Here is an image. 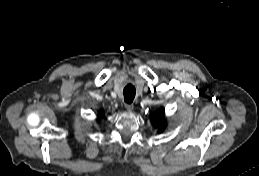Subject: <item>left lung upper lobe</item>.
<instances>
[{
  "instance_id": "left-lung-upper-lobe-1",
  "label": "left lung upper lobe",
  "mask_w": 259,
  "mask_h": 176,
  "mask_svg": "<svg viewBox=\"0 0 259 176\" xmlns=\"http://www.w3.org/2000/svg\"><path fill=\"white\" fill-rule=\"evenodd\" d=\"M164 116H165L164 109L158 110L151 118L152 124L155 127H159L160 126L161 129H162Z\"/></svg>"
}]
</instances>
